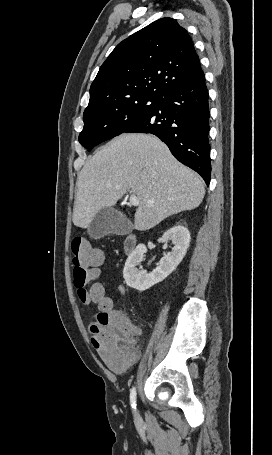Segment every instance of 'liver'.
Masks as SVG:
<instances>
[{"label":"liver","mask_w":272,"mask_h":455,"mask_svg":"<svg viewBox=\"0 0 272 455\" xmlns=\"http://www.w3.org/2000/svg\"><path fill=\"white\" fill-rule=\"evenodd\" d=\"M131 191L140 202L134 228H153L167 217L197 208L205 195L200 177L178 162L153 135L122 134L85 163L77 178L73 223L87 228L95 215Z\"/></svg>","instance_id":"1"}]
</instances>
